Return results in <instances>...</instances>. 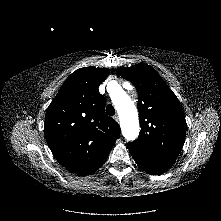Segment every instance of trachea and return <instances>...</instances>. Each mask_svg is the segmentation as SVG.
<instances>
[{
  "label": "trachea",
  "mask_w": 221,
  "mask_h": 221,
  "mask_svg": "<svg viewBox=\"0 0 221 221\" xmlns=\"http://www.w3.org/2000/svg\"><path fill=\"white\" fill-rule=\"evenodd\" d=\"M106 113H107L109 116H114V114H115V109H114V107H113L111 104L107 105V107H106Z\"/></svg>",
  "instance_id": "3493384b"
}]
</instances>
